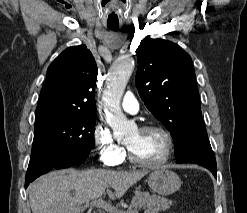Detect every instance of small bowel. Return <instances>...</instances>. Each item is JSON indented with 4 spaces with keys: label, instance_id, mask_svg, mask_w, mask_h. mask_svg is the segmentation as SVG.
I'll return each mask as SVG.
<instances>
[{
    "label": "small bowel",
    "instance_id": "small-bowel-1",
    "mask_svg": "<svg viewBox=\"0 0 247 213\" xmlns=\"http://www.w3.org/2000/svg\"><path fill=\"white\" fill-rule=\"evenodd\" d=\"M145 213H158V211L155 208L150 207L145 211Z\"/></svg>",
    "mask_w": 247,
    "mask_h": 213
}]
</instances>
